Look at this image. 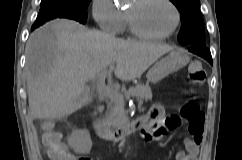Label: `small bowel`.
Masks as SVG:
<instances>
[{"label": "small bowel", "instance_id": "1", "mask_svg": "<svg viewBox=\"0 0 242 160\" xmlns=\"http://www.w3.org/2000/svg\"><path fill=\"white\" fill-rule=\"evenodd\" d=\"M152 119L150 120L148 117L147 122L145 123V128L141 132V138L145 142H150L155 139L154 131H158L159 133H164L166 131L176 130L180 124L181 120L177 116H169L164 118L162 112L157 111L151 115ZM158 124H162L161 128H157ZM190 137L187 138L184 142V149L178 151L176 155V160H197L199 155L200 145L203 140V126L195 132H190ZM66 160H76L75 156L70 152L66 158Z\"/></svg>", "mask_w": 242, "mask_h": 160}]
</instances>
